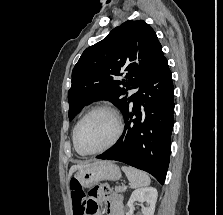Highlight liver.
Instances as JSON below:
<instances>
[{"label": "liver", "instance_id": "obj_1", "mask_svg": "<svg viewBox=\"0 0 223 215\" xmlns=\"http://www.w3.org/2000/svg\"><path fill=\"white\" fill-rule=\"evenodd\" d=\"M95 163H99V161H95ZM92 163H88V161H83V163H78V165H71L68 173V181H70L71 175H73L74 171L77 169H84V167H89Z\"/></svg>", "mask_w": 223, "mask_h": 215}]
</instances>
